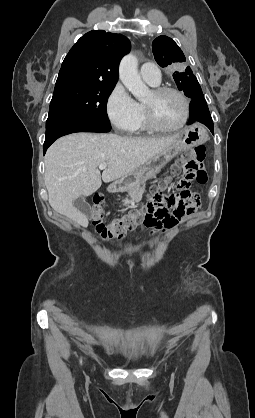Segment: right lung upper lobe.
<instances>
[{
    "label": "right lung upper lobe",
    "instance_id": "obj_1",
    "mask_svg": "<svg viewBox=\"0 0 255 418\" xmlns=\"http://www.w3.org/2000/svg\"><path fill=\"white\" fill-rule=\"evenodd\" d=\"M130 48L129 39L121 34L90 31L66 55L56 84L85 82L115 85L120 60Z\"/></svg>",
    "mask_w": 255,
    "mask_h": 418
}]
</instances>
